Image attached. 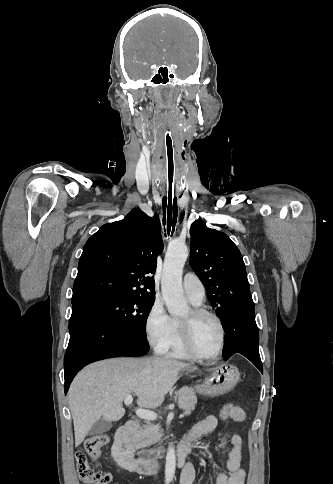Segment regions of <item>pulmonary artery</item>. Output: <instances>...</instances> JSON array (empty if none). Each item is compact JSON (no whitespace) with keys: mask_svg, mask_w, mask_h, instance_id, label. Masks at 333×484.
I'll return each instance as SVG.
<instances>
[{"mask_svg":"<svg viewBox=\"0 0 333 484\" xmlns=\"http://www.w3.org/2000/svg\"><path fill=\"white\" fill-rule=\"evenodd\" d=\"M183 287L188 298L198 304H201L204 296L205 289L200 279L194 273H186L183 278Z\"/></svg>","mask_w":333,"mask_h":484,"instance_id":"1","label":"pulmonary artery"}]
</instances>
